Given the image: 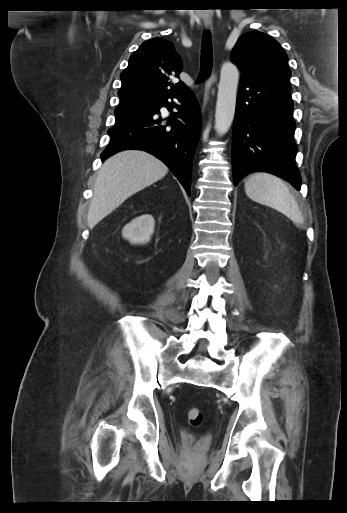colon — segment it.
<instances>
[{
  "instance_id": "colon-1",
  "label": "colon",
  "mask_w": 347,
  "mask_h": 513,
  "mask_svg": "<svg viewBox=\"0 0 347 513\" xmlns=\"http://www.w3.org/2000/svg\"><path fill=\"white\" fill-rule=\"evenodd\" d=\"M187 420L192 426H199L203 422V413L197 408H190L187 411Z\"/></svg>"
}]
</instances>
